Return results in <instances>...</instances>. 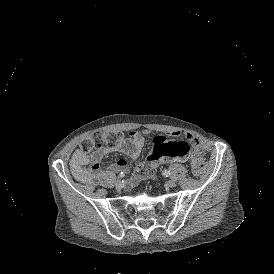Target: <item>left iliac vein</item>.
<instances>
[{
    "instance_id": "4c4485c4",
    "label": "left iliac vein",
    "mask_w": 274,
    "mask_h": 274,
    "mask_svg": "<svg viewBox=\"0 0 274 274\" xmlns=\"http://www.w3.org/2000/svg\"><path fill=\"white\" fill-rule=\"evenodd\" d=\"M175 185H176V181L173 180V179H171V180H169V181L167 182V186H168V187H174Z\"/></svg>"
}]
</instances>
